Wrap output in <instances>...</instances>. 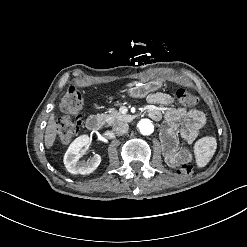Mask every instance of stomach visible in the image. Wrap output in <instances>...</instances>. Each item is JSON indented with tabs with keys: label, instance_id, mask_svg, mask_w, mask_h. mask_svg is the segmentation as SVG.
Returning <instances> with one entry per match:
<instances>
[{
	"label": "stomach",
	"instance_id": "0dacf381",
	"mask_svg": "<svg viewBox=\"0 0 247 247\" xmlns=\"http://www.w3.org/2000/svg\"><path fill=\"white\" fill-rule=\"evenodd\" d=\"M164 85L162 80L132 81L126 84V93L135 99L145 98L149 93L159 90Z\"/></svg>",
	"mask_w": 247,
	"mask_h": 247
}]
</instances>
